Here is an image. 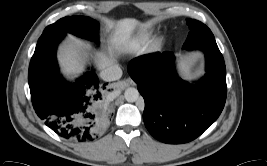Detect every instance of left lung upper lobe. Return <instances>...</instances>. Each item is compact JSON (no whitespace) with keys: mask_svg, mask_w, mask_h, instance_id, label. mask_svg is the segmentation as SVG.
I'll list each match as a JSON object with an SVG mask.
<instances>
[{"mask_svg":"<svg viewBox=\"0 0 267 166\" xmlns=\"http://www.w3.org/2000/svg\"><path fill=\"white\" fill-rule=\"evenodd\" d=\"M187 24L189 25L190 32L183 45V49L201 37L213 36L211 30L200 21L188 19Z\"/></svg>","mask_w":267,"mask_h":166,"instance_id":"1","label":"left lung upper lobe"}]
</instances>
